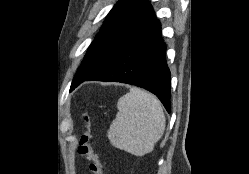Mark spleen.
<instances>
[{
    "mask_svg": "<svg viewBox=\"0 0 249 174\" xmlns=\"http://www.w3.org/2000/svg\"><path fill=\"white\" fill-rule=\"evenodd\" d=\"M107 132L111 145L136 156L150 153L162 137L165 116L159 101L138 88L120 97Z\"/></svg>",
    "mask_w": 249,
    "mask_h": 174,
    "instance_id": "3e777b00",
    "label": "spleen"
}]
</instances>
